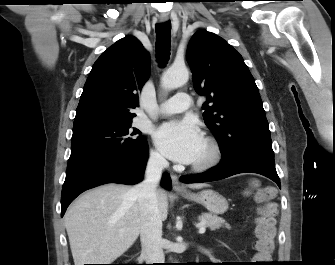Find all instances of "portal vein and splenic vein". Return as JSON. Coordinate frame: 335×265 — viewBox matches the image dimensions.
<instances>
[{"mask_svg":"<svg viewBox=\"0 0 335 265\" xmlns=\"http://www.w3.org/2000/svg\"><path fill=\"white\" fill-rule=\"evenodd\" d=\"M205 231H206V227L203 225V224H201L200 226H199V233L200 234H203V233H205Z\"/></svg>","mask_w":335,"mask_h":265,"instance_id":"obj_1","label":"portal vein and splenic vein"}]
</instances>
